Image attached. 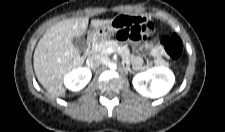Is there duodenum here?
Here are the masks:
<instances>
[{
  "label": "duodenum",
  "instance_id": "obj_1",
  "mask_svg": "<svg viewBox=\"0 0 225 132\" xmlns=\"http://www.w3.org/2000/svg\"><path fill=\"white\" fill-rule=\"evenodd\" d=\"M94 45H95V40L93 38H89L87 40V51L90 53L93 48H94Z\"/></svg>",
  "mask_w": 225,
  "mask_h": 132
}]
</instances>
